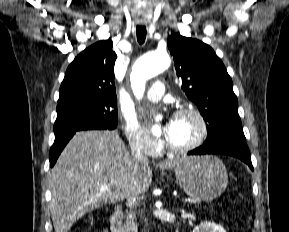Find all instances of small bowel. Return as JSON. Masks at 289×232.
Here are the masks:
<instances>
[{"instance_id":"c3829d8e","label":"small bowel","mask_w":289,"mask_h":232,"mask_svg":"<svg viewBox=\"0 0 289 232\" xmlns=\"http://www.w3.org/2000/svg\"><path fill=\"white\" fill-rule=\"evenodd\" d=\"M103 232H108V231H106V230H103Z\"/></svg>"}]
</instances>
